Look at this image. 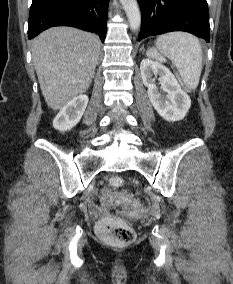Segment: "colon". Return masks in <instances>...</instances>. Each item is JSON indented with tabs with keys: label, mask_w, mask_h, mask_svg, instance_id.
I'll list each match as a JSON object with an SVG mask.
<instances>
[{
	"label": "colon",
	"mask_w": 233,
	"mask_h": 284,
	"mask_svg": "<svg viewBox=\"0 0 233 284\" xmlns=\"http://www.w3.org/2000/svg\"><path fill=\"white\" fill-rule=\"evenodd\" d=\"M149 58L157 61L164 62V56L154 47L147 49ZM184 88H187L186 86ZM109 184L115 188L120 189L124 181L119 176H112L109 178ZM119 202L123 203L129 211L143 212L144 206L142 202L125 192L118 193ZM97 233L106 241L116 245H129L134 242L136 238L135 231L123 221L116 218H107L98 222Z\"/></svg>",
	"instance_id": "obj_1"
}]
</instances>
